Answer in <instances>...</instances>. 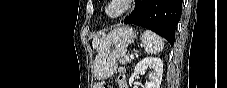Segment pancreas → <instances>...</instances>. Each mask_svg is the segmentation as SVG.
<instances>
[{
    "mask_svg": "<svg viewBox=\"0 0 227 88\" xmlns=\"http://www.w3.org/2000/svg\"><path fill=\"white\" fill-rule=\"evenodd\" d=\"M129 62H131V59L128 55H125L124 57L119 59V63L122 64V65L129 63Z\"/></svg>",
    "mask_w": 227,
    "mask_h": 88,
    "instance_id": "1",
    "label": "pancreas"
}]
</instances>
